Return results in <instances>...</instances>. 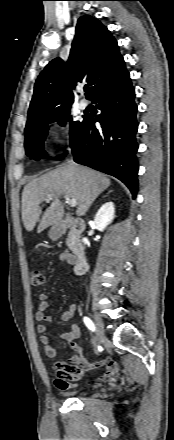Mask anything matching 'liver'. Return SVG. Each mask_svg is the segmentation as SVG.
I'll return each instance as SVG.
<instances>
[{
    "label": "liver",
    "mask_w": 174,
    "mask_h": 440,
    "mask_svg": "<svg viewBox=\"0 0 174 440\" xmlns=\"http://www.w3.org/2000/svg\"><path fill=\"white\" fill-rule=\"evenodd\" d=\"M110 183L104 174L75 163H67L30 181L22 193V221L25 229L30 232L39 222L37 231L40 233L59 222L64 215L60 200L63 195L77 201V216L85 215ZM48 197H51L50 207L42 214L40 204L47 201Z\"/></svg>",
    "instance_id": "liver-1"
}]
</instances>
